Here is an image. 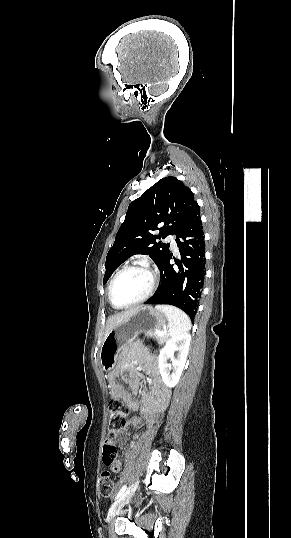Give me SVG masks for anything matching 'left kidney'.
<instances>
[{
	"instance_id": "1",
	"label": "left kidney",
	"mask_w": 291,
	"mask_h": 538,
	"mask_svg": "<svg viewBox=\"0 0 291 538\" xmlns=\"http://www.w3.org/2000/svg\"><path fill=\"white\" fill-rule=\"evenodd\" d=\"M190 341L191 335L183 333L167 340L160 351L158 358L159 371L163 382L169 388L174 387L181 377L186 363ZM175 351H177L176 357L174 356ZM169 359H171L172 365L167 362Z\"/></svg>"
}]
</instances>
